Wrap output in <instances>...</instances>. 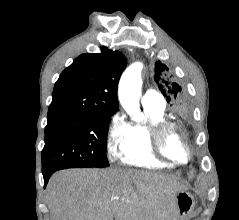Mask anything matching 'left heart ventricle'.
<instances>
[{
	"instance_id": "1",
	"label": "left heart ventricle",
	"mask_w": 239,
	"mask_h": 220,
	"mask_svg": "<svg viewBox=\"0 0 239 220\" xmlns=\"http://www.w3.org/2000/svg\"><path fill=\"white\" fill-rule=\"evenodd\" d=\"M166 153L177 161L186 159V150L181 138L175 132H171L165 138L164 143Z\"/></svg>"
}]
</instances>
